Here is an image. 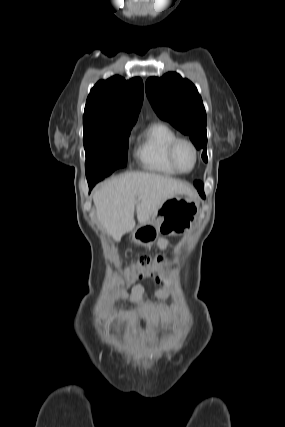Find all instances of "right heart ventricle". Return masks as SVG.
<instances>
[{"label":"right heart ventricle","mask_w":285,"mask_h":427,"mask_svg":"<svg viewBox=\"0 0 285 427\" xmlns=\"http://www.w3.org/2000/svg\"><path fill=\"white\" fill-rule=\"evenodd\" d=\"M177 133L163 122H155L146 127L139 136L135 157L147 171L163 174H178L168 161V147L177 138Z\"/></svg>","instance_id":"1"}]
</instances>
